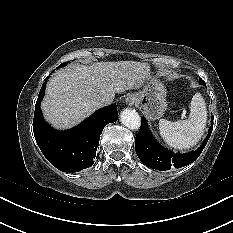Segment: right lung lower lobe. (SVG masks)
Masks as SVG:
<instances>
[{
  "instance_id": "1",
  "label": "right lung lower lobe",
  "mask_w": 233,
  "mask_h": 233,
  "mask_svg": "<svg viewBox=\"0 0 233 233\" xmlns=\"http://www.w3.org/2000/svg\"><path fill=\"white\" fill-rule=\"evenodd\" d=\"M45 87L46 82L39 92L33 119V132L40 150L54 167L63 172H77L92 166L98 157L96 151L103 128L118 118L116 104L101 108L77 127L60 132L43 120L39 103Z\"/></svg>"
}]
</instances>
